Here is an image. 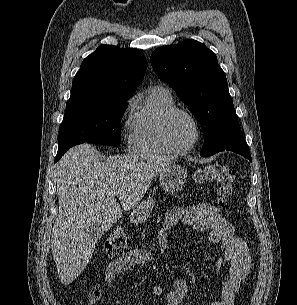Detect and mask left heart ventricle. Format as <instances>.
Wrapping results in <instances>:
<instances>
[{"label":"left heart ventricle","instance_id":"left-heart-ventricle-1","mask_svg":"<svg viewBox=\"0 0 297 305\" xmlns=\"http://www.w3.org/2000/svg\"><path fill=\"white\" fill-rule=\"evenodd\" d=\"M168 133L171 142L177 147H185L195 138L193 123L182 114H177L171 119L168 126Z\"/></svg>","mask_w":297,"mask_h":305}]
</instances>
